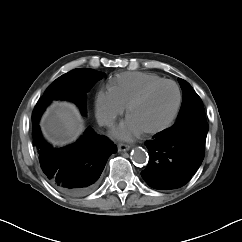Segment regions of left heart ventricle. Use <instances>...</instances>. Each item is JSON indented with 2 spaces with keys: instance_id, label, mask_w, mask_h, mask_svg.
Listing matches in <instances>:
<instances>
[{
  "instance_id": "left-heart-ventricle-1",
  "label": "left heart ventricle",
  "mask_w": 242,
  "mask_h": 242,
  "mask_svg": "<svg viewBox=\"0 0 242 242\" xmlns=\"http://www.w3.org/2000/svg\"><path fill=\"white\" fill-rule=\"evenodd\" d=\"M176 102L175 87L170 84L161 85L132 110L129 118L141 131L157 128L170 118Z\"/></svg>"
}]
</instances>
